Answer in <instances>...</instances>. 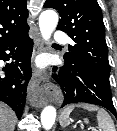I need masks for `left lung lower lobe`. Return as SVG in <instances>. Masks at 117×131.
<instances>
[{"label": "left lung lower lobe", "instance_id": "obj_1", "mask_svg": "<svg viewBox=\"0 0 117 131\" xmlns=\"http://www.w3.org/2000/svg\"><path fill=\"white\" fill-rule=\"evenodd\" d=\"M56 68L54 67V70ZM53 77L64 93L62 107L72 103H90L105 107L117 118L110 84L92 74L82 65L65 60L64 66L59 70V78L57 75Z\"/></svg>", "mask_w": 117, "mask_h": 131}]
</instances>
